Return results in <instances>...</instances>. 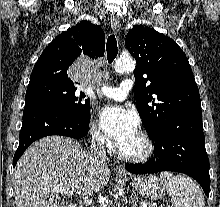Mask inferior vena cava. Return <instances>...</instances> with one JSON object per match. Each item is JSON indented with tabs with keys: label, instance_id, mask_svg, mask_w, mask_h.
<instances>
[{
	"label": "inferior vena cava",
	"instance_id": "1",
	"mask_svg": "<svg viewBox=\"0 0 220 207\" xmlns=\"http://www.w3.org/2000/svg\"><path fill=\"white\" fill-rule=\"evenodd\" d=\"M105 136L100 134H94L93 143L91 145L90 159L93 164H104L107 160L105 150Z\"/></svg>",
	"mask_w": 220,
	"mask_h": 207
}]
</instances>
